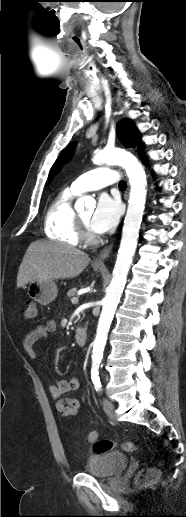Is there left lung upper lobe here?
I'll list each match as a JSON object with an SVG mask.
<instances>
[{"mask_svg":"<svg viewBox=\"0 0 186 517\" xmlns=\"http://www.w3.org/2000/svg\"><path fill=\"white\" fill-rule=\"evenodd\" d=\"M117 135L121 143L125 147H135L137 146L139 151L138 153H141V143H140V137L139 132L137 128L135 127L134 123L130 120H123L118 123L117 125ZM75 146V143H72L67 146L66 149L62 151L58 159L53 164L50 173H49V181L52 180L54 175L58 172L60 167L71 157L73 153V148Z\"/></svg>","mask_w":186,"mask_h":517,"instance_id":"1","label":"left lung upper lobe"}]
</instances>
